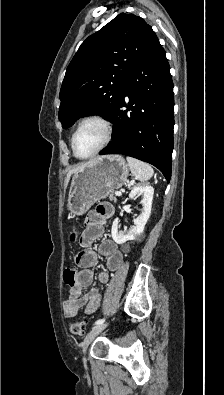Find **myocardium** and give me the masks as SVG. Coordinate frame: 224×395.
Segmentation results:
<instances>
[{"label":"myocardium","mask_w":224,"mask_h":395,"mask_svg":"<svg viewBox=\"0 0 224 395\" xmlns=\"http://www.w3.org/2000/svg\"><path fill=\"white\" fill-rule=\"evenodd\" d=\"M90 122H96V123L100 124L104 129L105 136H104V139L101 142V144L96 148V150L94 152H92L91 154H89L87 156L82 157V156L78 155L76 152L75 140H76L77 134L79 133L81 128ZM112 137H113V124L111 123L110 120H108L106 117L99 115V114L88 115V116L84 117L82 120H80V122L78 123V125L72 135V138H71L72 152H73L74 156L80 160L92 158L95 155H97L99 152H101L105 147H107V145L112 140Z\"/></svg>","instance_id":"obj_1"}]
</instances>
